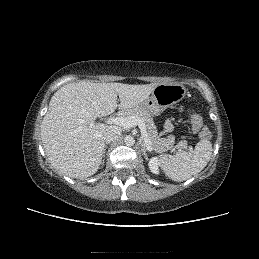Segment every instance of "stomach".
<instances>
[{
    "label": "stomach",
    "instance_id": "obj_1",
    "mask_svg": "<svg viewBox=\"0 0 259 259\" xmlns=\"http://www.w3.org/2000/svg\"><path fill=\"white\" fill-rule=\"evenodd\" d=\"M187 93L182 84H158L150 97L145 99L137 109L150 115H159L168 107L181 101Z\"/></svg>",
    "mask_w": 259,
    "mask_h": 259
}]
</instances>
